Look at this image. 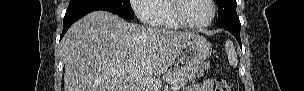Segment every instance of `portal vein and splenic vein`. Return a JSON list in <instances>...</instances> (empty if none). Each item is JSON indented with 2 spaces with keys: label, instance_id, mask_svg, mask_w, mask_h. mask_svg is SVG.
Wrapping results in <instances>:
<instances>
[{
  "label": "portal vein and splenic vein",
  "instance_id": "portal-vein-and-splenic-vein-1",
  "mask_svg": "<svg viewBox=\"0 0 304 91\" xmlns=\"http://www.w3.org/2000/svg\"><path fill=\"white\" fill-rule=\"evenodd\" d=\"M125 72H128V69L122 68L120 70L121 74H123ZM135 78H136L137 82H139L140 84H142L144 86H147L148 88H152V89L158 90L162 86V82L160 80H158V79L144 77V76H140V75H136ZM172 89H173V91H177L178 87L177 86H173Z\"/></svg>",
  "mask_w": 304,
  "mask_h": 91
}]
</instances>
